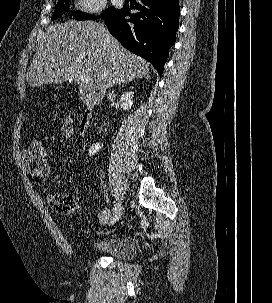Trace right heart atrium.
Segmentation results:
<instances>
[{
    "label": "right heart atrium",
    "mask_w": 272,
    "mask_h": 303,
    "mask_svg": "<svg viewBox=\"0 0 272 303\" xmlns=\"http://www.w3.org/2000/svg\"><path fill=\"white\" fill-rule=\"evenodd\" d=\"M107 0H78L79 8L87 13H97L101 11Z\"/></svg>",
    "instance_id": "right-heart-atrium-1"
}]
</instances>
